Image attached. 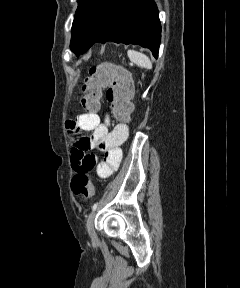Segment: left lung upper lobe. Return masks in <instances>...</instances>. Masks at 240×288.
I'll return each instance as SVG.
<instances>
[{
    "label": "left lung upper lobe",
    "instance_id": "obj_1",
    "mask_svg": "<svg viewBox=\"0 0 240 288\" xmlns=\"http://www.w3.org/2000/svg\"><path fill=\"white\" fill-rule=\"evenodd\" d=\"M109 0H78L72 25L71 50L76 53L85 44L101 19Z\"/></svg>",
    "mask_w": 240,
    "mask_h": 288
}]
</instances>
